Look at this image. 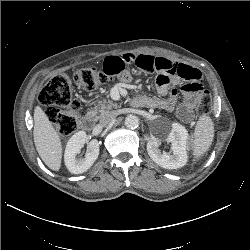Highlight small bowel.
<instances>
[{
  "instance_id": "c3829d8e",
  "label": "small bowel",
  "mask_w": 250,
  "mask_h": 250,
  "mask_svg": "<svg viewBox=\"0 0 250 250\" xmlns=\"http://www.w3.org/2000/svg\"><path fill=\"white\" fill-rule=\"evenodd\" d=\"M136 64L143 71L156 75V86L161 98L141 97L138 103L156 106L164 110L176 109L178 118L184 123H190L194 118V107L202 91V78L198 69L177 61L150 55L123 54L107 57L103 62V70L117 76L121 82L128 83L131 74L127 66ZM183 82L184 101L176 106L177 92L171 85Z\"/></svg>"
}]
</instances>
